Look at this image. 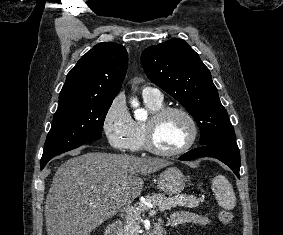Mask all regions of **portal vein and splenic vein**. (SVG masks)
<instances>
[{
	"mask_svg": "<svg viewBox=\"0 0 283 235\" xmlns=\"http://www.w3.org/2000/svg\"><path fill=\"white\" fill-rule=\"evenodd\" d=\"M123 211L127 214V216L137 214L139 211L138 209L134 208L133 206L127 204L123 206ZM157 213L153 207L150 208L149 216H154Z\"/></svg>",
	"mask_w": 283,
	"mask_h": 235,
	"instance_id": "portal-vein-and-splenic-vein-1",
	"label": "portal vein and splenic vein"
}]
</instances>
